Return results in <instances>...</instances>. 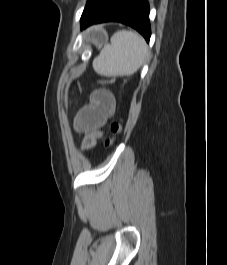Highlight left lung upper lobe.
<instances>
[{
    "label": "left lung upper lobe",
    "instance_id": "obj_1",
    "mask_svg": "<svg viewBox=\"0 0 227 265\" xmlns=\"http://www.w3.org/2000/svg\"><path fill=\"white\" fill-rule=\"evenodd\" d=\"M106 0H88L81 16V21L90 16Z\"/></svg>",
    "mask_w": 227,
    "mask_h": 265
}]
</instances>
